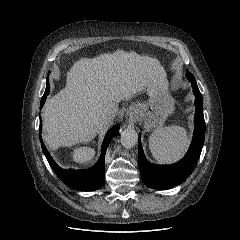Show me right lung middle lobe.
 <instances>
[{
  "label": "right lung middle lobe",
  "mask_w": 240,
  "mask_h": 240,
  "mask_svg": "<svg viewBox=\"0 0 240 240\" xmlns=\"http://www.w3.org/2000/svg\"><path fill=\"white\" fill-rule=\"evenodd\" d=\"M48 94H49V80H48V77H47V85H46V90H45V93H44L43 97H47Z\"/></svg>",
  "instance_id": "1"
}]
</instances>
